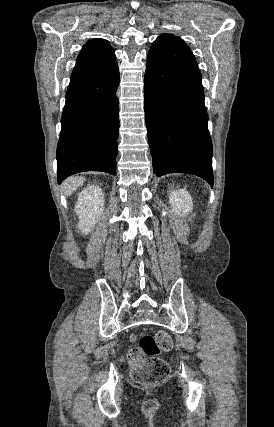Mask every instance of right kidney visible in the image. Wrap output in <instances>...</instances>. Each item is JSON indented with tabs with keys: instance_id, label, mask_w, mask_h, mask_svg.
Here are the masks:
<instances>
[{
	"instance_id": "1",
	"label": "right kidney",
	"mask_w": 274,
	"mask_h": 427,
	"mask_svg": "<svg viewBox=\"0 0 274 427\" xmlns=\"http://www.w3.org/2000/svg\"><path fill=\"white\" fill-rule=\"evenodd\" d=\"M104 194L99 186H87L80 192L75 204V214L78 215L77 223L80 233L92 231L95 223L104 212Z\"/></svg>"
}]
</instances>
